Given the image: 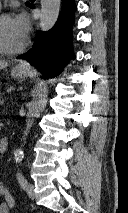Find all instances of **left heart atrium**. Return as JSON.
Listing matches in <instances>:
<instances>
[{"mask_svg": "<svg viewBox=\"0 0 128 213\" xmlns=\"http://www.w3.org/2000/svg\"><path fill=\"white\" fill-rule=\"evenodd\" d=\"M14 29L22 42L26 39L29 32V19L23 12L16 14L12 18Z\"/></svg>", "mask_w": 128, "mask_h": 213, "instance_id": "1", "label": "left heart atrium"}]
</instances>
